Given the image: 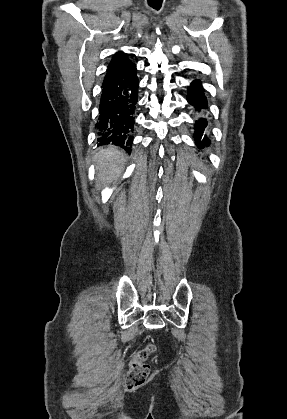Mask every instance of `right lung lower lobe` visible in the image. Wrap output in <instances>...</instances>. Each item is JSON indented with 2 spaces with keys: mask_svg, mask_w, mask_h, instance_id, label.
I'll use <instances>...</instances> for the list:
<instances>
[{
  "mask_svg": "<svg viewBox=\"0 0 287 419\" xmlns=\"http://www.w3.org/2000/svg\"><path fill=\"white\" fill-rule=\"evenodd\" d=\"M138 87L135 66L103 82L96 123L99 145L114 144L131 152Z\"/></svg>",
  "mask_w": 287,
  "mask_h": 419,
  "instance_id": "right-lung-lower-lobe-1",
  "label": "right lung lower lobe"
}]
</instances>
